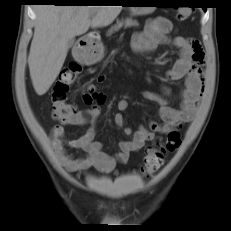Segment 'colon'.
<instances>
[{"mask_svg":"<svg viewBox=\"0 0 231 231\" xmlns=\"http://www.w3.org/2000/svg\"><path fill=\"white\" fill-rule=\"evenodd\" d=\"M190 14V8H183L178 11L177 18L182 21L187 19ZM81 72V64L77 62L70 63L61 71L54 86L51 98L52 117L61 123H67L76 113L74 106L67 102V96L71 86L75 83ZM180 145L181 136L179 132H169L164 142L147 149L142 172L145 175H152L157 172L164 164L165 155L176 151Z\"/></svg>","mask_w":231,"mask_h":231,"instance_id":"1","label":"colon"}]
</instances>
